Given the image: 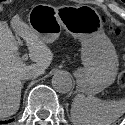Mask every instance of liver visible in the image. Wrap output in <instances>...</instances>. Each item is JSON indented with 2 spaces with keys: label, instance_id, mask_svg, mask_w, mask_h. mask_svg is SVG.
<instances>
[{
  "label": "liver",
  "instance_id": "1",
  "mask_svg": "<svg viewBox=\"0 0 125 125\" xmlns=\"http://www.w3.org/2000/svg\"><path fill=\"white\" fill-rule=\"evenodd\" d=\"M16 35L25 40L30 59L27 65L18 56V44L7 22L0 21V119L14 115L20 107L22 76L28 72L44 74L53 53L38 34L16 15L11 20Z\"/></svg>",
  "mask_w": 125,
  "mask_h": 125
}]
</instances>
